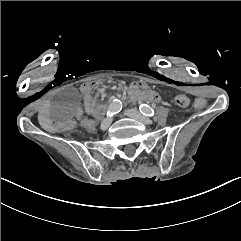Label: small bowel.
<instances>
[{"label": "small bowel", "instance_id": "obj_1", "mask_svg": "<svg viewBox=\"0 0 241 241\" xmlns=\"http://www.w3.org/2000/svg\"><path fill=\"white\" fill-rule=\"evenodd\" d=\"M98 83H86L82 85L81 91L84 95L85 105L87 110L96 114L98 112V106L96 105L95 99L93 97V91ZM127 92L129 94H137L140 93L147 100H154L158 98L159 100L162 98L160 95L157 96V92L154 88L150 87L148 83L145 82H134L129 83L127 85ZM40 111L39 116L44 126L49 128H54L57 130H66L69 127L68 122L66 121H57L54 119H50L47 108L48 105L45 102L40 103L39 105Z\"/></svg>", "mask_w": 241, "mask_h": 241}]
</instances>
